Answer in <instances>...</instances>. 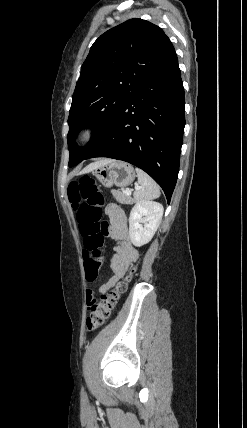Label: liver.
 I'll use <instances>...</instances> for the list:
<instances>
[{
  "mask_svg": "<svg viewBox=\"0 0 247 428\" xmlns=\"http://www.w3.org/2000/svg\"><path fill=\"white\" fill-rule=\"evenodd\" d=\"M112 161H114V160L107 159V158L106 159L98 160V161H96L94 163L89 164L86 168H84L83 171H82V173H89V172L93 171L94 169H96V168H98V167H100V166H102L104 164L110 163Z\"/></svg>",
  "mask_w": 247,
  "mask_h": 428,
  "instance_id": "1",
  "label": "liver"
}]
</instances>
